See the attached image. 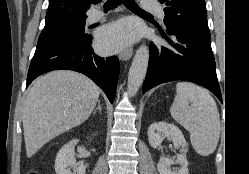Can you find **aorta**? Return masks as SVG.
<instances>
[{
    "label": "aorta",
    "mask_w": 249,
    "mask_h": 174,
    "mask_svg": "<svg viewBox=\"0 0 249 174\" xmlns=\"http://www.w3.org/2000/svg\"><path fill=\"white\" fill-rule=\"evenodd\" d=\"M149 49L143 44L141 45L133 58L131 67L128 74L127 90L131 95H135L142 85L146 76L148 61H149Z\"/></svg>",
    "instance_id": "obj_1"
}]
</instances>
